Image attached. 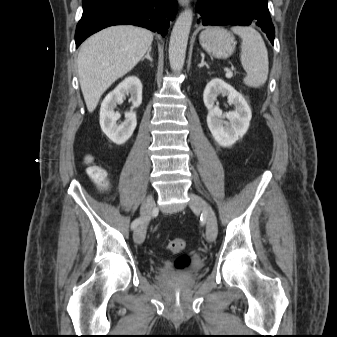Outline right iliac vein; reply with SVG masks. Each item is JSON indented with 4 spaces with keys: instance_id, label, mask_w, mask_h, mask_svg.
I'll return each mask as SVG.
<instances>
[{
    "instance_id": "63e3f726",
    "label": "right iliac vein",
    "mask_w": 337,
    "mask_h": 337,
    "mask_svg": "<svg viewBox=\"0 0 337 337\" xmlns=\"http://www.w3.org/2000/svg\"><path fill=\"white\" fill-rule=\"evenodd\" d=\"M154 200L152 195H148L145 200L143 201L141 208H140V216L142 222L140 225L135 229L133 234V239L137 244H142L145 240L146 236V228L148 224V220L154 209Z\"/></svg>"
}]
</instances>
